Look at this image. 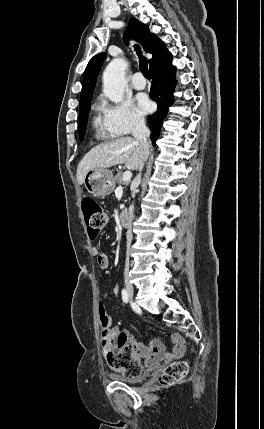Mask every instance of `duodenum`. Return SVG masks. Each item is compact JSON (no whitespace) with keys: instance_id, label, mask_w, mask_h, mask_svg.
<instances>
[{"instance_id":"duodenum-1","label":"duodenum","mask_w":264,"mask_h":429,"mask_svg":"<svg viewBox=\"0 0 264 429\" xmlns=\"http://www.w3.org/2000/svg\"><path fill=\"white\" fill-rule=\"evenodd\" d=\"M130 216V214L127 212V211H122L120 214H119V217H118V219H119V222H120V224L122 225V226H127L128 225V223H129V221H128V217Z\"/></svg>"}]
</instances>
